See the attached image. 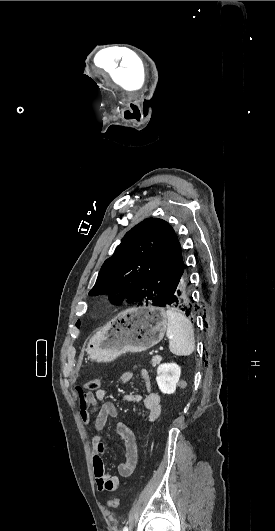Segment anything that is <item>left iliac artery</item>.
<instances>
[{"label": "left iliac artery", "mask_w": 275, "mask_h": 531, "mask_svg": "<svg viewBox=\"0 0 275 531\" xmlns=\"http://www.w3.org/2000/svg\"><path fill=\"white\" fill-rule=\"evenodd\" d=\"M123 531H128V527L125 526V527L123 528Z\"/></svg>", "instance_id": "left-iliac-artery-1"}]
</instances>
